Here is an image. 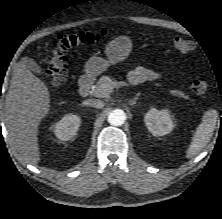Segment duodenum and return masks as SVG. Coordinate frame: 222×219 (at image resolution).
Wrapping results in <instances>:
<instances>
[{
    "instance_id": "obj_1",
    "label": "duodenum",
    "mask_w": 222,
    "mask_h": 219,
    "mask_svg": "<svg viewBox=\"0 0 222 219\" xmlns=\"http://www.w3.org/2000/svg\"><path fill=\"white\" fill-rule=\"evenodd\" d=\"M93 78L90 75H83L78 82V93L81 96H87L90 93Z\"/></svg>"
}]
</instances>
